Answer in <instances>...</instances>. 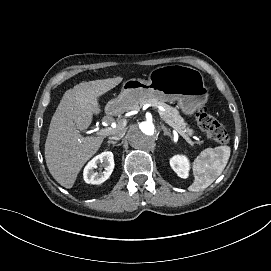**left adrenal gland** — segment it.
Instances as JSON below:
<instances>
[{"instance_id":"1","label":"left adrenal gland","mask_w":271,"mask_h":271,"mask_svg":"<svg viewBox=\"0 0 271 271\" xmlns=\"http://www.w3.org/2000/svg\"><path fill=\"white\" fill-rule=\"evenodd\" d=\"M161 128L164 130L165 137L167 136L168 138H172L171 133L168 131V129L164 125H162Z\"/></svg>"}]
</instances>
